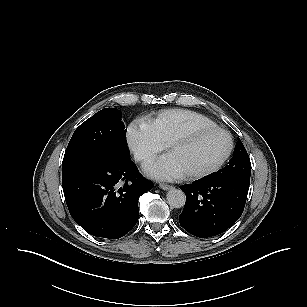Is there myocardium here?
Instances as JSON below:
<instances>
[{
    "label": "myocardium",
    "instance_id": "1",
    "mask_svg": "<svg viewBox=\"0 0 307 307\" xmlns=\"http://www.w3.org/2000/svg\"><path fill=\"white\" fill-rule=\"evenodd\" d=\"M211 132H221V133H224L228 136L230 145H229V149H228L227 153L224 155V157L216 165L212 166L211 168H208V169L203 170V171L183 175V178L185 180L191 181V180L202 179V178L208 177V176L218 172L219 170H221L224 167V165L226 164V162L230 159L231 155L234 152L235 140H234L233 135L227 129L222 128V127L217 126V125L216 126H210V127H201V128H196V129H193V130L187 132L186 134H184L181 137L173 140L171 143H169L168 145L165 146V151L168 153L169 151L185 147V146L189 145L190 143H192L197 138H199L200 136L207 134V133H211Z\"/></svg>",
    "mask_w": 307,
    "mask_h": 307
}]
</instances>
